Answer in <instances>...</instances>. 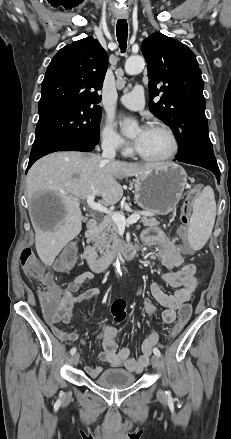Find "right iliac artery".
Returning <instances> with one entry per match:
<instances>
[{
    "label": "right iliac artery",
    "mask_w": 231,
    "mask_h": 439,
    "mask_svg": "<svg viewBox=\"0 0 231 439\" xmlns=\"http://www.w3.org/2000/svg\"><path fill=\"white\" fill-rule=\"evenodd\" d=\"M75 352H76V348L75 347L70 350V354L71 355L75 354Z\"/></svg>",
    "instance_id": "obj_1"
}]
</instances>
